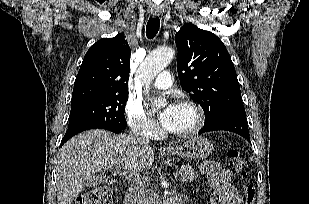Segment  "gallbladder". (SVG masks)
Instances as JSON below:
<instances>
[{"instance_id":"1","label":"gallbladder","mask_w":309,"mask_h":204,"mask_svg":"<svg viewBox=\"0 0 309 204\" xmlns=\"http://www.w3.org/2000/svg\"><path fill=\"white\" fill-rule=\"evenodd\" d=\"M110 179L104 175H96L93 176L92 178H89L85 181V186L86 187H95L98 184H100L101 182H107Z\"/></svg>"}]
</instances>
